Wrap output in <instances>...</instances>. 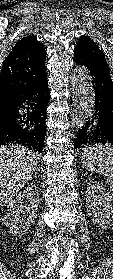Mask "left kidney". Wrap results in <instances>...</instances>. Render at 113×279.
<instances>
[{
    "label": "left kidney",
    "mask_w": 113,
    "mask_h": 279,
    "mask_svg": "<svg viewBox=\"0 0 113 279\" xmlns=\"http://www.w3.org/2000/svg\"><path fill=\"white\" fill-rule=\"evenodd\" d=\"M85 199L93 222L103 229L112 227L113 192L106 190L96 181H90L86 187Z\"/></svg>",
    "instance_id": "left-kidney-1"
}]
</instances>
